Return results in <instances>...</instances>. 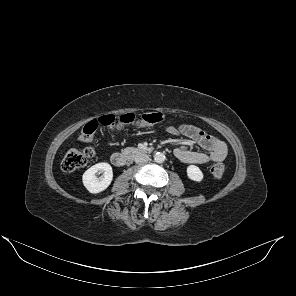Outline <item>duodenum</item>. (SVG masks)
I'll return each mask as SVG.
<instances>
[{"label": "duodenum", "mask_w": 296, "mask_h": 296, "mask_svg": "<svg viewBox=\"0 0 296 296\" xmlns=\"http://www.w3.org/2000/svg\"><path fill=\"white\" fill-rule=\"evenodd\" d=\"M153 148L144 147L140 149L131 150L128 152H115L111 156L112 163L117 167H123L128 165L134 158V156L139 154L151 153Z\"/></svg>", "instance_id": "1"}]
</instances>
